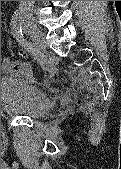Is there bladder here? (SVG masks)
<instances>
[{
	"instance_id": "31cf9c89",
	"label": "bladder",
	"mask_w": 121,
	"mask_h": 169,
	"mask_svg": "<svg viewBox=\"0 0 121 169\" xmlns=\"http://www.w3.org/2000/svg\"><path fill=\"white\" fill-rule=\"evenodd\" d=\"M1 107L9 115L41 117L52 109V101L42 90L16 78L1 79Z\"/></svg>"
}]
</instances>
